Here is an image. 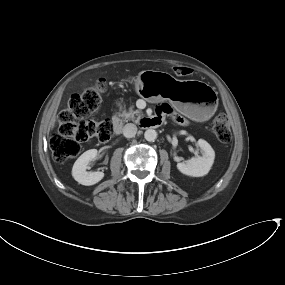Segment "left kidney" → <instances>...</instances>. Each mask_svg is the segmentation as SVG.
Instances as JSON below:
<instances>
[{
  "mask_svg": "<svg viewBox=\"0 0 285 285\" xmlns=\"http://www.w3.org/2000/svg\"><path fill=\"white\" fill-rule=\"evenodd\" d=\"M197 147L200 148L202 156H195L185 162L177 163V168L181 173L192 177H201L210 171L215 159L213 148L203 139L197 141Z\"/></svg>",
  "mask_w": 285,
  "mask_h": 285,
  "instance_id": "obj_1",
  "label": "left kidney"
}]
</instances>
